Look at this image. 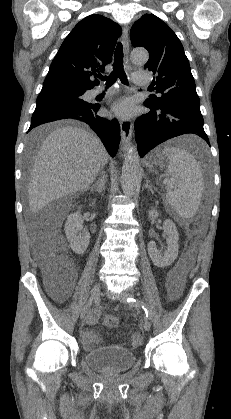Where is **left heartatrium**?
<instances>
[{
  "label": "left heart atrium",
  "mask_w": 231,
  "mask_h": 419,
  "mask_svg": "<svg viewBox=\"0 0 231 419\" xmlns=\"http://www.w3.org/2000/svg\"><path fill=\"white\" fill-rule=\"evenodd\" d=\"M133 105L128 100L118 102L112 107V114L119 118H128L132 115Z\"/></svg>",
  "instance_id": "left-heart-atrium-1"
}]
</instances>
